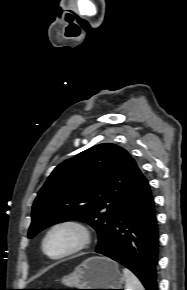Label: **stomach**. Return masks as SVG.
Segmentation results:
<instances>
[{
    "mask_svg": "<svg viewBox=\"0 0 187 290\" xmlns=\"http://www.w3.org/2000/svg\"><path fill=\"white\" fill-rule=\"evenodd\" d=\"M125 281L118 264L103 256L83 261L75 270L62 278V283L76 289H121Z\"/></svg>",
    "mask_w": 187,
    "mask_h": 290,
    "instance_id": "obj_1",
    "label": "stomach"
}]
</instances>
